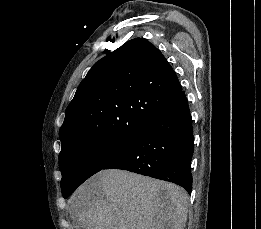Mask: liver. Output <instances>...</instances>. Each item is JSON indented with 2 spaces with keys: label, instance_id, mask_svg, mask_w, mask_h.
Instances as JSON below:
<instances>
[{
  "label": "liver",
  "instance_id": "obj_1",
  "mask_svg": "<svg viewBox=\"0 0 261 229\" xmlns=\"http://www.w3.org/2000/svg\"><path fill=\"white\" fill-rule=\"evenodd\" d=\"M75 229H184L189 197L178 185L129 171H100L69 201Z\"/></svg>",
  "mask_w": 261,
  "mask_h": 229
}]
</instances>
